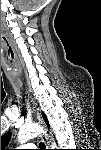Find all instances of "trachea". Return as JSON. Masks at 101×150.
<instances>
[{
  "label": "trachea",
  "mask_w": 101,
  "mask_h": 150,
  "mask_svg": "<svg viewBox=\"0 0 101 150\" xmlns=\"http://www.w3.org/2000/svg\"><path fill=\"white\" fill-rule=\"evenodd\" d=\"M40 148H42L41 150H45V145L43 143L40 144Z\"/></svg>",
  "instance_id": "obj_1"
}]
</instances>
